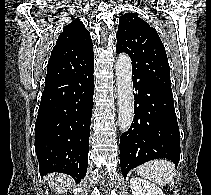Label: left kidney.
Here are the masks:
<instances>
[{
	"mask_svg": "<svg viewBox=\"0 0 211 195\" xmlns=\"http://www.w3.org/2000/svg\"><path fill=\"white\" fill-rule=\"evenodd\" d=\"M130 188L132 195H164L158 186L138 177L131 178Z\"/></svg>",
	"mask_w": 211,
	"mask_h": 195,
	"instance_id": "left-kidney-1",
	"label": "left kidney"
}]
</instances>
